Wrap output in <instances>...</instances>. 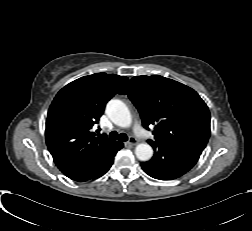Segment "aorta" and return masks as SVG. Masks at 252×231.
<instances>
[{
  "instance_id": "aorta-1",
  "label": "aorta",
  "mask_w": 252,
  "mask_h": 231,
  "mask_svg": "<svg viewBox=\"0 0 252 231\" xmlns=\"http://www.w3.org/2000/svg\"><path fill=\"white\" fill-rule=\"evenodd\" d=\"M106 114L117 126L127 128L132 123L131 113L124 102L112 99L107 103ZM135 155L140 161H148L153 156V149L147 143L138 144L135 148Z\"/></svg>"
}]
</instances>
